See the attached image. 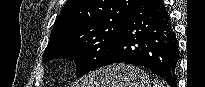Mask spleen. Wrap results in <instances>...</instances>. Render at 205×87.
Here are the masks:
<instances>
[{"mask_svg": "<svg viewBox=\"0 0 205 87\" xmlns=\"http://www.w3.org/2000/svg\"><path fill=\"white\" fill-rule=\"evenodd\" d=\"M154 87H164L162 82L158 79L154 80Z\"/></svg>", "mask_w": 205, "mask_h": 87, "instance_id": "1", "label": "spleen"}]
</instances>
